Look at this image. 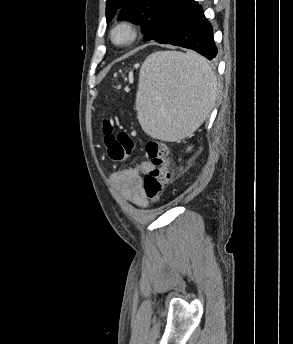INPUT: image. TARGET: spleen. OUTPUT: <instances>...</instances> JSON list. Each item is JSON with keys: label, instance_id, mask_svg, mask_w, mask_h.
Returning a JSON list of instances; mask_svg holds the SVG:
<instances>
[{"label": "spleen", "instance_id": "spleen-1", "mask_svg": "<svg viewBox=\"0 0 293 344\" xmlns=\"http://www.w3.org/2000/svg\"><path fill=\"white\" fill-rule=\"evenodd\" d=\"M217 78L203 57L159 51L147 57L139 76L136 110L146 134L176 141L193 133L217 97Z\"/></svg>", "mask_w": 293, "mask_h": 344}]
</instances>
